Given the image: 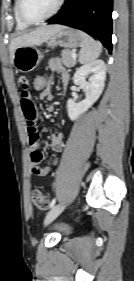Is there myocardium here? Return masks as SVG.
<instances>
[{
	"mask_svg": "<svg viewBox=\"0 0 134 281\" xmlns=\"http://www.w3.org/2000/svg\"><path fill=\"white\" fill-rule=\"evenodd\" d=\"M17 1V13L19 18L26 24L29 25H36V24H40L42 22H45L47 20H49L50 18L54 17L63 7L65 0H59L56 7L53 9V11L51 13H49L48 15L39 18V19H32L30 17H28L23 10V0H16Z\"/></svg>",
	"mask_w": 134,
	"mask_h": 281,
	"instance_id": "obj_1",
	"label": "myocardium"
}]
</instances>
